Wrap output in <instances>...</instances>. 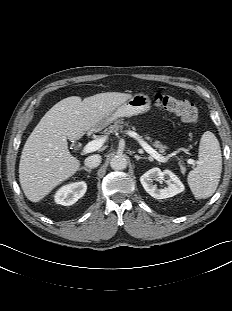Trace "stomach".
Instances as JSON below:
<instances>
[{
    "label": "stomach",
    "instance_id": "0dacf381",
    "mask_svg": "<svg viewBox=\"0 0 232 311\" xmlns=\"http://www.w3.org/2000/svg\"><path fill=\"white\" fill-rule=\"evenodd\" d=\"M151 108L150 98L143 94H135L126 102L118 106L108 117H106L101 123H99L94 129L99 130L106 127L113 121L122 117H131L138 114L145 113Z\"/></svg>",
    "mask_w": 232,
    "mask_h": 311
}]
</instances>
